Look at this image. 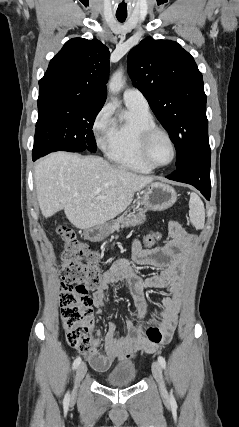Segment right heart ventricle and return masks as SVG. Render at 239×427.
Returning <instances> with one entry per match:
<instances>
[{
	"label": "right heart ventricle",
	"mask_w": 239,
	"mask_h": 427,
	"mask_svg": "<svg viewBox=\"0 0 239 427\" xmlns=\"http://www.w3.org/2000/svg\"><path fill=\"white\" fill-rule=\"evenodd\" d=\"M149 110L127 106V112L114 120L113 130L104 147L106 156L115 164L138 173L153 170L140 155V138L144 130L155 127Z\"/></svg>",
	"instance_id": "obj_1"
}]
</instances>
